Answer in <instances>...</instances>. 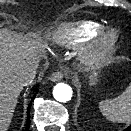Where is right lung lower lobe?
<instances>
[{"mask_svg": "<svg viewBox=\"0 0 131 131\" xmlns=\"http://www.w3.org/2000/svg\"><path fill=\"white\" fill-rule=\"evenodd\" d=\"M34 97L32 98L33 101ZM30 107H31V103L28 106V112H27V125L24 131H28L29 126H30Z\"/></svg>", "mask_w": 131, "mask_h": 131, "instance_id": "right-lung-lower-lobe-1", "label": "right lung lower lobe"}]
</instances>
